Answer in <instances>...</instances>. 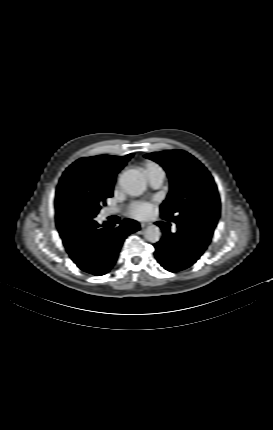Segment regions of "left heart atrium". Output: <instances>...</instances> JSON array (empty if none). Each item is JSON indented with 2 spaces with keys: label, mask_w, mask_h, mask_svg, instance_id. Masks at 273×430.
Listing matches in <instances>:
<instances>
[{
  "label": "left heart atrium",
  "mask_w": 273,
  "mask_h": 430,
  "mask_svg": "<svg viewBox=\"0 0 273 430\" xmlns=\"http://www.w3.org/2000/svg\"><path fill=\"white\" fill-rule=\"evenodd\" d=\"M151 210V203H135L131 213L137 218H145L151 213Z\"/></svg>",
  "instance_id": "obj_1"
}]
</instances>
